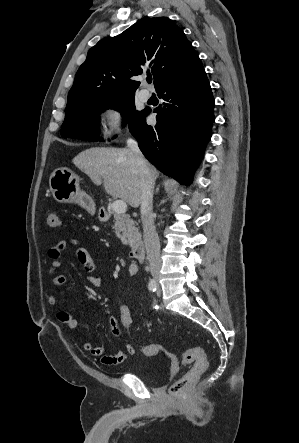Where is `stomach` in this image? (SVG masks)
Segmentation results:
<instances>
[{
  "instance_id": "0dacf381",
  "label": "stomach",
  "mask_w": 299,
  "mask_h": 443,
  "mask_svg": "<svg viewBox=\"0 0 299 443\" xmlns=\"http://www.w3.org/2000/svg\"><path fill=\"white\" fill-rule=\"evenodd\" d=\"M49 186L52 196L57 202L75 203L94 214V201L88 194L80 190L79 177L70 169H55L50 176Z\"/></svg>"
}]
</instances>
